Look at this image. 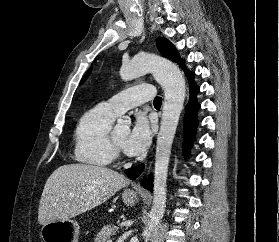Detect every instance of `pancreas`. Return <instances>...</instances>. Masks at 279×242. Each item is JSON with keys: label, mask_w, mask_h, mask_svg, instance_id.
Masks as SVG:
<instances>
[{"label": "pancreas", "mask_w": 279, "mask_h": 242, "mask_svg": "<svg viewBox=\"0 0 279 242\" xmlns=\"http://www.w3.org/2000/svg\"><path fill=\"white\" fill-rule=\"evenodd\" d=\"M118 228L113 225L104 226L101 231L96 235L95 242H107V240L117 232Z\"/></svg>", "instance_id": "pancreas-1"}]
</instances>
